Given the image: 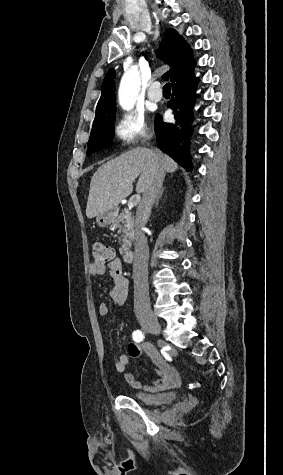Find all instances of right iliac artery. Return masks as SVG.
Masks as SVG:
<instances>
[{
  "instance_id": "82829eb1",
  "label": "right iliac artery",
  "mask_w": 283,
  "mask_h": 475,
  "mask_svg": "<svg viewBox=\"0 0 283 475\" xmlns=\"http://www.w3.org/2000/svg\"><path fill=\"white\" fill-rule=\"evenodd\" d=\"M133 340L136 342H141L144 339V334L140 330H136L132 334Z\"/></svg>"
}]
</instances>
